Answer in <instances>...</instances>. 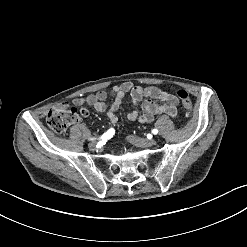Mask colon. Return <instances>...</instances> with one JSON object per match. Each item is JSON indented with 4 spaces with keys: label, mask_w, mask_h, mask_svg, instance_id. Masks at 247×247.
<instances>
[{
    "label": "colon",
    "mask_w": 247,
    "mask_h": 247,
    "mask_svg": "<svg viewBox=\"0 0 247 247\" xmlns=\"http://www.w3.org/2000/svg\"><path fill=\"white\" fill-rule=\"evenodd\" d=\"M174 92L180 99L185 109L186 115L189 118L195 116V112L191 103L189 94L180 88L174 87ZM78 120L77 110H60L51 109L46 117V123L49 128L55 133H63L67 128Z\"/></svg>",
    "instance_id": "1"
}]
</instances>
